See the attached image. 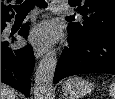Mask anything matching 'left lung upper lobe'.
Wrapping results in <instances>:
<instances>
[{"label": "left lung upper lobe", "instance_id": "1", "mask_svg": "<svg viewBox=\"0 0 115 99\" xmlns=\"http://www.w3.org/2000/svg\"><path fill=\"white\" fill-rule=\"evenodd\" d=\"M83 16V23H70L68 33L83 42L95 37L115 38V0H69Z\"/></svg>", "mask_w": 115, "mask_h": 99}]
</instances>
